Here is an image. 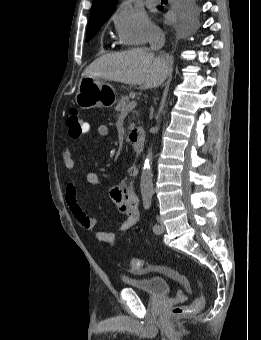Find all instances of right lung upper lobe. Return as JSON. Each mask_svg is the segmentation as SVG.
Returning <instances> with one entry per match:
<instances>
[{
  "mask_svg": "<svg viewBox=\"0 0 261 340\" xmlns=\"http://www.w3.org/2000/svg\"><path fill=\"white\" fill-rule=\"evenodd\" d=\"M116 0H93L89 24L103 18L110 17Z\"/></svg>",
  "mask_w": 261,
  "mask_h": 340,
  "instance_id": "right-lung-upper-lobe-1",
  "label": "right lung upper lobe"
}]
</instances>
